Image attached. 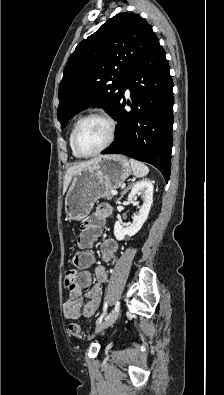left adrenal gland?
<instances>
[{
	"instance_id": "obj_1",
	"label": "left adrenal gland",
	"mask_w": 224,
	"mask_h": 395,
	"mask_svg": "<svg viewBox=\"0 0 224 395\" xmlns=\"http://www.w3.org/2000/svg\"><path fill=\"white\" fill-rule=\"evenodd\" d=\"M128 189H130V186H129L128 188H126V189L122 192V195H123L124 193H126V192L128 191Z\"/></svg>"
}]
</instances>
